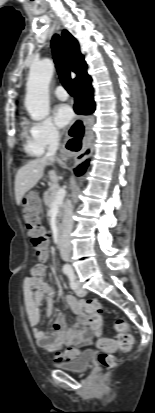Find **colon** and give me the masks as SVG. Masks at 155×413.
Instances as JSON below:
<instances>
[{
  "label": "colon",
  "mask_w": 155,
  "mask_h": 413,
  "mask_svg": "<svg viewBox=\"0 0 155 413\" xmlns=\"http://www.w3.org/2000/svg\"><path fill=\"white\" fill-rule=\"evenodd\" d=\"M42 195L40 192H25L22 198L23 215L27 225L28 235L31 238L32 244L39 259L46 257L48 253V234L40 221V213L37 206L40 205ZM86 309L93 316H101L102 306L97 299H88L86 301ZM116 330L118 337L116 346L123 352H129L132 349L133 337L129 333V326L123 319H118L116 322ZM98 346L102 351L98 354V362L105 368H113L117 364V358L109 351L113 350V345L110 340L102 338L98 342Z\"/></svg>",
  "instance_id": "colon-1"
}]
</instances>
